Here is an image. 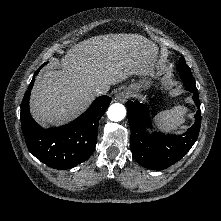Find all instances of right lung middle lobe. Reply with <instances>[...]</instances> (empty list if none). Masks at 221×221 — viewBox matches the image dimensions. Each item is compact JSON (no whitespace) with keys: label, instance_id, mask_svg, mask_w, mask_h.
Segmentation results:
<instances>
[{"label":"right lung middle lobe","instance_id":"right-lung-middle-lobe-1","mask_svg":"<svg viewBox=\"0 0 221 221\" xmlns=\"http://www.w3.org/2000/svg\"><path fill=\"white\" fill-rule=\"evenodd\" d=\"M45 64H46V63H44L42 66H44ZM42 66H41V67H42ZM41 67H40V68H41Z\"/></svg>","mask_w":221,"mask_h":221}]
</instances>
